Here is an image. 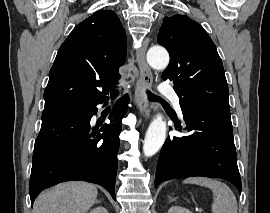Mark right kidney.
<instances>
[{
    "instance_id": "right-kidney-1",
    "label": "right kidney",
    "mask_w": 270,
    "mask_h": 213,
    "mask_svg": "<svg viewBox=\"0 0 270 213\" xmlns=\"http://www.w3.org/2000/svg\"><path fill=\"white\" fill-rule=\"evenodd\" d=\"M89 213H108V211L104 207H97L91 210Z\"/></svg>"
}]
</instances>
